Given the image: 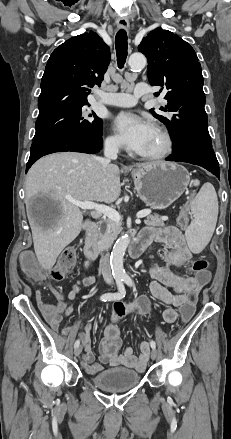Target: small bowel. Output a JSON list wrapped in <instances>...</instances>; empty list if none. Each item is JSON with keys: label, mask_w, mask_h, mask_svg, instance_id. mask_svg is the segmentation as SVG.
Returning a JSON list of instances; mask_svg holds the SVG:
<instances>
[{"label": "small bowel", "mask_w": 231, "mask_h": 439, "mask_svg": "<svg viewBox=\"0 0 231 439\" xmlns=\"http://www.w3.org/2000/svg\"><path fill=\"white\" fill-rule=\"evenodd\" d=\"M147 246L151 243H160L164 245L163 258L164 265L153 264L150 268L152 281L149 285L152 296L160 303L167 306L163 312V318L167 323L175 322L180 316L178 315L179 305L183 303L191 287H196L195 276L188 273L177 274L175 268L185 265L191 258V251L187 245L184 235L174 226L165 228H148L144 229L140 235ZM95 282V277L91 274L79 278L67 294V299L75 301L79 299V292L83 287H89ZM59 303L55 306L56 318L49 320L54 330L59 329V323L62 316H69L73 312V306L68 305L62 296ZM152 306L147 296H140L138 299L126 305L127 312H133L139 315H148ZM118 320L112 318L104 329V337L100 343V363L95 362V356L91 349V340L87 334H80L83 346L82 366L84 370L91 375L97 374L103 370L102 364L109 366H124L136 371H143L149 359V346L147 341L140 344L141 353L139 356L134 355L131 347H126L121 351L122 340L120 329L116 324ZM91 325L86 326L89 331ZM64 334L70 332L69 328L62 330Z\"/></svg>", "instance_id": "1"}]
</instances>
